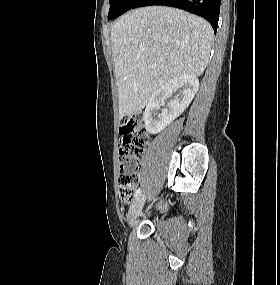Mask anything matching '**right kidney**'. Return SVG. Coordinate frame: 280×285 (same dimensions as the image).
Masks as SVG:
<instances>
[{
	"instance_id": "right-kidney-1",
	"label": "right kidney",
	"mask_w": 280,
	"mask_h": 285,
	"mask_svg": "<svg viewBox=\"0 0 280 285\" xmlns=\"http://www.w3.org/2000/svg\"><path fill=\"white\" fill-rule=\"evenodd\" d=\"M183 87L179 96H175L160 114L156 113L164 105V98L172 96L173 91ZM199 89V80L193 74L181 75L161 86L150 98L145 112L144 122L146 130L157 134L166 128L173 120L181 115L189 106Z\"/></svg>"
}]
</instances>
